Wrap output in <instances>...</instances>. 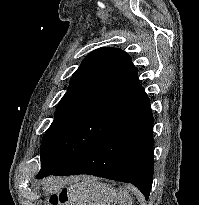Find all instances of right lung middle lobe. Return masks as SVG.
<instances>
[{"instance_id": "right-lung-middle-lobe-1", "label": "right lung middle lobe", "mask_w": 199, "mask_h": 205, "mask_svg": "<svg viewBox=\"0 0 199 205\" xmlns=\"http://www.w3.org/2000/svg\"><path fill=\"white\" fill-rule=\"evenodd\" d=\"M122 119L93 109L55 112L41 143L39 176L49 175L86 148L99 142Z\"/></svg>"}]
</instances>
